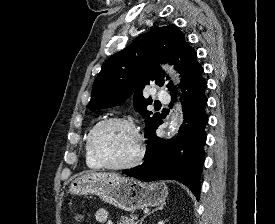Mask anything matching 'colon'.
I'll return each mask as SVG.
<instances>
[{"label": "colon", "instance_id": "5ec220e1", "mask_svg": "<svg viewBox=\"0 0 275 224\" xmlns=\"http://www.w3.org/2000/svg\"><path fill=\"white\" fill-rule=\"evenodd\" d=\"M81 219H82V217L80 216V215H78L77 217H76V220L79 222V221H81Z\"/></svg>", "mask_w": 275, "mask_h": 224}]
</instances>
